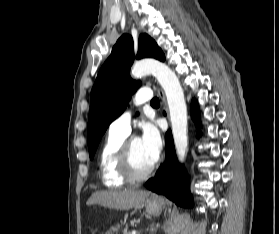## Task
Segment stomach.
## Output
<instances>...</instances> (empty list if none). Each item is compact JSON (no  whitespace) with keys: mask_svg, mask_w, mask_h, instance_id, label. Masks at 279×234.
<instances>
[{"mask_svg":"<svg viewBox=\"0 0 279 234\" xmlns=\"http://www.w3.org/2000/svg\"><path fill=\"white\" fill-rule=\"evenodd\" d=\"M145 208L148 215L157 216L162 211V205L158 201L148 199L145 202Z\"/></svg>","mask_w":279,"mask_h":234,"instance_id":"0dacf381","label":"stomach"}]
</instances>
